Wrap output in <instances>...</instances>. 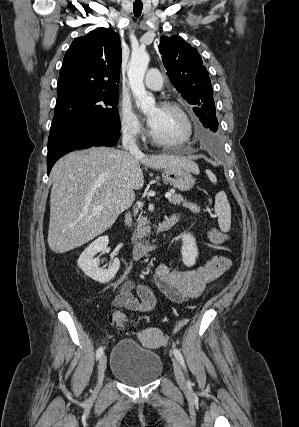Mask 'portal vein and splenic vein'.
Returning a JSON list of instances; mask_svg holds the SVG:
<instances>
[{"label":"portal vein and splenic vein","mask_w":299,"mask_h":427,"mask_svg":"<svg viewBox=\"0 0 299 427\" xmlns=\"http://www.w3.org/2000/svg\"><path fill=\"white\" fill-rule=\"evenodd\" d=\"M165 197H166L167 199H169V198H171V194H170V193H167V194H165ZM136 204L138 205V207H139V208H141V207H142V205H143L141 202H137ZM102 208H103L102 206H98V207H97V209H102Z\"/></svg>","instance_id":"portal-vein-and-splenic-vein-1"}]
</instances>
